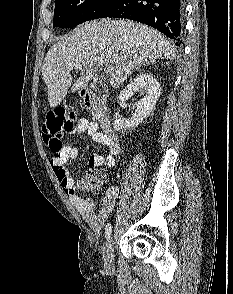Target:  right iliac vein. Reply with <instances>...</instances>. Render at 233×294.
I'll list each match as a JSON object with an SVG mask.
<instances>
[{
  "label": "right iliac vein",
  "instance_id": "63e3f726",
  "mask_svg": "<svg viewBox=\"0 0 233 294\" xmlns=\"http://www.w3.org/2000/svg\"><path fill=\"white\" fill-rule=\"evenodd\" d=\"M104 258V265L108 270H111L114 267V261H113V239L110 237L107 240L106 246L104 248L103 253Z\"/></svg>",
  "mask_w": 233,
  "mask_h": 294
}]
</instances>
